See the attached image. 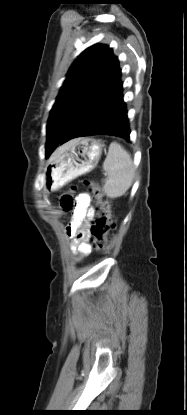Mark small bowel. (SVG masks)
Returning <instances> with one entry per match:
<instances>
[{
  "instance_id": "small-bowel-1",
  "label": "small bowel",
  "mask_w": 187,
  "mask_h": 415,
  "mask_svg": "<svg viewBox=\"0 0 187 415\" xmlns=\"http://www.w3.org/2000/svg\"><path fill=\"white\" fill-rule=\"evenodd\" d=\"M90 204V195L88 193L80 194L76 199L72 220L66 227V234L72 238L71 250L78 254L80 258L89 255L91 252L87 227L95 217L96 210ZM82 225L84 228L77 233V229Z\"/></svg>"
}]
</instances>
